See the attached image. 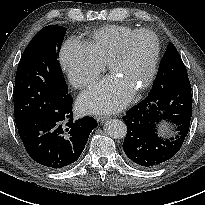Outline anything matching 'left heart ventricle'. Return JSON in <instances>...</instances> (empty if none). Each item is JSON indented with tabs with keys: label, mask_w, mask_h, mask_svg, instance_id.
Listing matches in <instances>:
<instances>
[{
	"label": "left heart ventricle",
	"mask_w": 205,
	"mask_h": 205,
	"mask_svg": "<svg viewBox=\"0 0 205 205\" xmlns=\"http://www.w3.org/2000/svg\"><path fill=\"white\" fill-rule=\"evenodd\" d=\"M154 52V39L150 35H140L130 43L126 57L110 72L135 91L148 76Z\"/></svg>",
	"instance_id": "b2bd125f"
}]
</instances>
